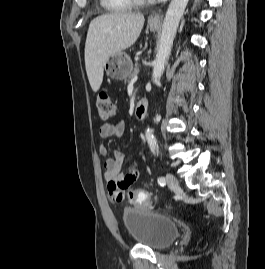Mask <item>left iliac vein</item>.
Returning a JSON list of instances; mask_svg holds the SVG:
<instances>
[{"mask_svg":"<svg viewBox=\"0 0 265 269\" xmlns=\"http://www.w3.org/2000/svg\"><path fill=\"white\" fill-rule=\"evenodd\" d=\"M166 180H167V185H168L169 188L175 189V188L179 187V182H178L177 178L173 174L168 173L166 175Z\"/></svg>","mask_w":265,"mask_h":269,"instance_id":"left-iliac-vein-1","label":"left iliac vein"}]
</instances>
